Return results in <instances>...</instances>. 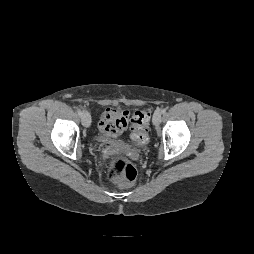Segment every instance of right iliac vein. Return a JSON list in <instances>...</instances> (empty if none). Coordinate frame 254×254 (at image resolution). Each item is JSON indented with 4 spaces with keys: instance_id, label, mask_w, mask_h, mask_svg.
Instances as JSON below:
<instances>
[{
    "instance_id": "1",
    "label": "right iliac vein",
    "mask_w": 254,
    "mask_h": 254,
    "mask_svg": "<svg viewBox=\"0 0 254 254\" xmlns=\"http://www.w3.org/2000/svg\"><path fill=\"white\" fill-rule=\"evenodd\" d=\"M81 121L84 127H89L91 123V117L88 112H84L81 116Z\"/></svg>"
}]
</instances>
